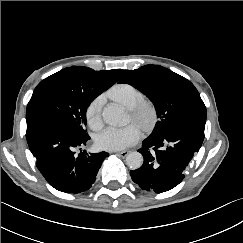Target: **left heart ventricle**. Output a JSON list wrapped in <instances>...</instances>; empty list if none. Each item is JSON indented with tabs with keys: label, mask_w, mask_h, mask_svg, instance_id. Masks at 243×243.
Returning a JSON list of instances; mask_svg holds the SVG:
<instances>
[{
	"label": "left heart ventricle",
	"mask_w": 243,
	"mask_h": 243,
	"mask_svg": "<svg viewBox=\"0 0 243 243\" xmlns=\"http://www.w3.org/2000/svg\"><path fill=\"white\" fill-rule=\"evenodd\" d=\"M130 119L133 120L131 114H130Z\"/></svg>",
	"instance_id": "obj_1"
}]
</instances>
